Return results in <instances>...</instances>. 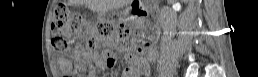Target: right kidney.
<instances>
[{
    "label": "right kidney",
    "instance_id": "ca27d5eb",
    "mask_svg": "<svg viewBox=\"0 0 258 77\" xmlns=\"http://www.w3.org/2000/svg\"><path fill=\"white\" fill-rule=\"evenodd\" d=\"M184 2H186V0H184ZM176 6L180 7L179 4H176ZM162 13H165V10H162Z\"/></svg>",
    "mask_w": 258,
    "mask_h": 77
}]
</instances>
